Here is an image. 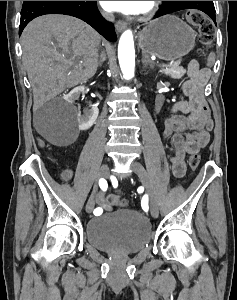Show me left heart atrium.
I'll return each instance as SVG.
<instances>
[{
  "mask_svg": "<svg viewBox=\"0 0 237 300\" xmlns=\"http://www.w3.org/2000/svg\"><path fill=\"white\" fill-rule=\"evenodd\" d=\"M145 2L146 1H100L105 10L125 14L139 13Z\"/></svg>",
  "mask_w": 237,
  "mask_h": 300,
  "instance_id": "left-heart-atrium-1",
  "label": "left heart atrium"
}]
</instances>
